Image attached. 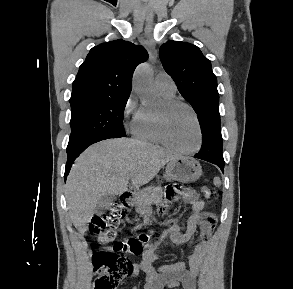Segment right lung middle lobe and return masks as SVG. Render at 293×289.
<instances>
[{"mask_svg": "<svg viewBox=\"0 0 293 289\" xmlns=\"http://www.w3.org/2000/svg\"><path fill=\"white\" fill-rule=\"evenodd\" d=\"M128 97H86L70 101L71 135L67 147L102 135L125 137L123 114Z\"/></svg>", "mask_w": 293, "mask_h": 289, "instance_id": "dd1d6c3e", "label": "right lung middle lobe"}]
</instances>
